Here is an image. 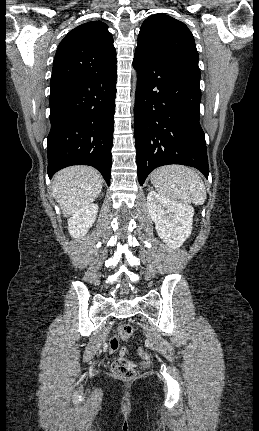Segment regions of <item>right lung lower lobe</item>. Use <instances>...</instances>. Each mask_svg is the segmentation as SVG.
Instances as JSON below:
<instances>
[{
	"instance_id": "obj_1",
	"label": "right lung lower lobe",
	"mask_w": 259,
	"mask_h": 431,
	"mask_svg": "<svg viewBox=\"0 0 259 431\" xmlns=\"http://www.w3.org/2000/svg\"><path fill=\"white\" fill-rule=\"evenodd\" d=\"M116 69L51 86L48 175L71 165L98 169L111 177Z\"/></svg>"
}]
</instances>
